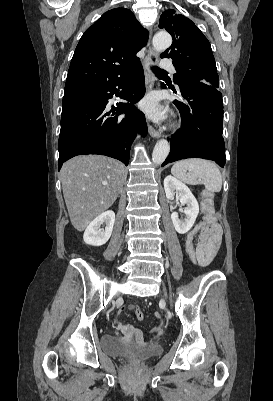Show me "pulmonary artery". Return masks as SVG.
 Wrapping results in <instances>:
<instances>
[{
  "label": "pulmonary artery",
  "instance_id": "1",
  "mask_svg": "<svg viewBox=\"0 0 273 401\" xmlns=\"http://www.w3.org/2000/svg\"><path fill=\"white\" fill-rule=\"evenodd\" d=\"M160 63L162 64V65H164L163 66V69H164V71L165 72H172L173 71V69H174V66H173V60H172V58L171 57H164V58H162L161 60H160Z\"/></svg>",
  "mask_w": 273,
  "mask_h": 401
}]
</instances>
